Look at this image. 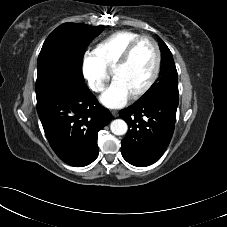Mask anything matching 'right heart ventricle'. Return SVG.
Here are the masks:
<instances>
[{"mask_svg":"<svg viewBox=\"0 0 227 227\" xmlns=\"http://www.w3.org/2000/svg\"><path fill=\"white\" fill-rule=\"evenodd\" d=\"M140 36L129 30L114 32L96 45L95 54L106 69H112L128 45Z\"/></svg>","mask_w":227,"mask_h":227,"instance_id":"e07e8e85","label":"right heart ventricle"}]
</instances>
